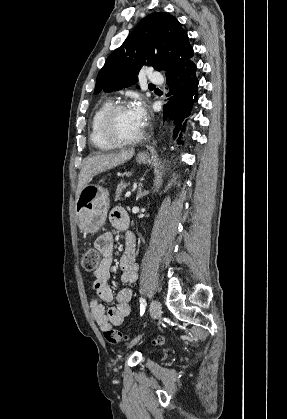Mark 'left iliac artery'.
<instances>
[{
    "instance_id": "44dca946",
    "label": "left iliac artery",
    "mask_w": 287,
    "mask_h": 419,
    "mask_svg": "<svg viewBox=\"0 0 287 419\" xmlns=\"http://www.w3.org/2000/svg\"><path fill=\"white\" fill-rule=\"evenodd\" d=\"M139 302H140V315L142 316L144 314V312H145L146 300H145L144 297H141L139 299Z\"/></svg>"
}]
</instances>
